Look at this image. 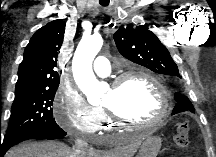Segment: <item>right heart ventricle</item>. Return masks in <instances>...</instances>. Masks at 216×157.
<instances>
[{
    "label": "right heart ventricle",
    "instance_id": "right-heart-ventricle-1",
    "mask_svg": "<svg viewBox=\"0 0 216 157\" xmlns=\"http://www.w3.org/2000/svg\"><path fill=\"white\" fill-rule=\"evenodd\" d=\"M103 113H104V121H103L102 124H105L104 126H106V127H111V124H113V123L111 122V120H110L109 116L107 115V113H105L104 111H103ZM101 127H102V125H101Z\"/></svg>",
    "mask_w": 216,
    "mask_h": 157
}]
</instances>
